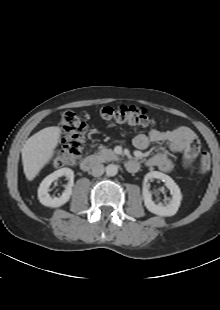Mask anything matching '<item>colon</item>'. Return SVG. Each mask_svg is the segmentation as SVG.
Wrapping results in <instances>:
<instances>
[{"instance_id":"obj_1","label":"colon","mask_w":220,"mask_h":310,"mask_svg":"<svg viewBox=\"0 0 220 310\" xmlns=\"http://www.w3.org/2000/svg\"><path fill=\"white\" fill-rule=\"evenodd\" d=\"M104 118L120 124L136 127H148L154 124L153 117L142 108L137 107H111L102 108ZM60 125L64 133L62 148L55 157V165L62 167L76 162L82 155L86 123L72 110H66L61 115ZM212 157L209 152L201 154L197 170L203 174L210 170Z\"/></svg>"}]
</instances>
